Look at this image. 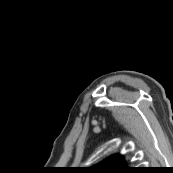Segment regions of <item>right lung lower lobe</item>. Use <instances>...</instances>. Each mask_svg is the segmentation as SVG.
Instances as JSON below:
<instances>
[{
    "label": "right lung lower lobe",
    "mask_w": 173,
    "mask_h": 173,
    "mask_svg": "<svg viewBox=\"0 0 173 173\" xmlns=\"http://www.w3.org/2000/svg\"><path fill=\"white\" fill-rule=\"evenodd\" d=\"M129 172H130V173H131V172H133V173H134V172H136V171H129Z\"/></svg>",
    "instance_id": "obj_1"
}]
</instances>
